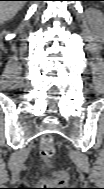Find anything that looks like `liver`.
<instances>
[{"label": "liver", "mask_w": 104, "mask_h": 189, "mask_svg": "<svg viewBox=\"0 0 104 189\" xmlns=\"http://www.w3.org/2000/svg\"><path fill=\"white\" fill-rule=\"evenodd\" d=\"M23 1H1L0 2V20L4 23L12 19L19 11Z\"/></svg>", "instance_id": "6515ba94"}]
</instances>
